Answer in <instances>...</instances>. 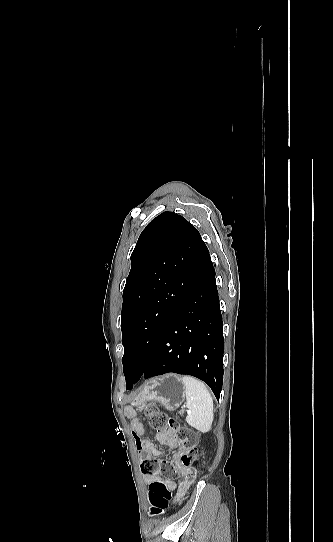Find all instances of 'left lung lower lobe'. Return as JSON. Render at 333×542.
<instances>
[{
    "instance_id": "0a47b994",
    "label": "left lung lower lobe",
    "mask_w": 333,
    "mask_h": 542,
    "mask_svg": "<svg viewBox=\"0 0 333 542\" xmlns=\"http://www.w3.org/2000/svg\"><path fill=\"white\" fill-rule=\"evenodd\" d=\"M223 322L211 258L174 310L157 340L140 377L126 382V389L145 379L169 372L195 376L209 385L219 399L223 382Z\"/></svg>"
}]
</instances>
